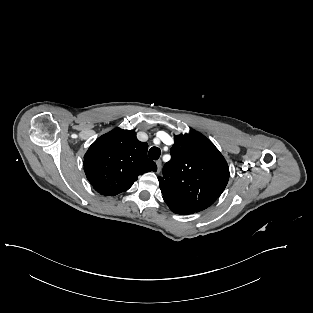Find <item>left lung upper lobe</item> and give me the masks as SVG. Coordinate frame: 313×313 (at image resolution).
I'll return each instance as SVG.
<instances>
[{"instance_id":"left-lung-upper-lobe-1","label":"left lung upper lobe","mask_w":313,"mask_h":313,"mask_svg":"<svg viewBox=\"0 0 313 313\" xmlns=\"http://www.w3.org/2000/svg\"><path fill=\"white\" fill-rule=\"evenodd\" d=\"M171 161L158 177L163 198L199 212L224 191L229 167L214 144L199 132L174 137Z\"/></svg>"}]
</instances>
